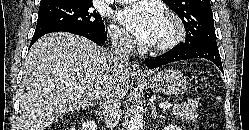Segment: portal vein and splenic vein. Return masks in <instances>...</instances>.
Returning a JSON list of instances; mask_svg holds the SVG:
<instances>
[{"label": "portal vein and splenic vein", "mask_w": 249, "mask_h": 130, "mask_svg": "<svg viewBox=\"0 0 249 130\" xmlns=\"http://www.w3.org/2000/svg\"><path fill=\"white\" fill-rule=\"evenodd\" d=\"M81 91H82V90H81ZM159 107H160L161 109H169V108L173 107V105H172L171 103H160V104H159Z\"/></svg>", "instance_id": "18ae733b"}]
</instances>
